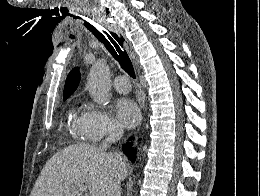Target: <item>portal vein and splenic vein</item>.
Instances as JSON below:
<instances>
[{"instance_id": "portal-vein-and-splenic-vein-1", "label": "portal vein and splenic vein", "mask_w": 260, "mask_h": 196, "mask_svg": "<svg viewBox=\"0 0 260 196\" xmlns=\"http://www.w3.org/2000/svg\"><path fill=\"white\" fill-rule=\"evenodd\" d=\"M75 190H80V192H87V186H82V184H79V186H76Z\"/></svg>"}]
</instances>
